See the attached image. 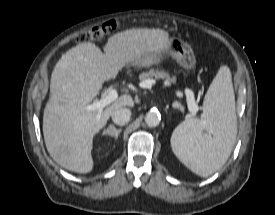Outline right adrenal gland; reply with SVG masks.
Returning <instances> with one entry per match:
<instances>
[{"mask_svg":"<svg viewBox=\"0 0 275 215\" xmlns=\"http://www.w3.org/2000/svg\"><path fill=\"white\" fill-rule=\"evenodd\" d=\"M122 128L116 129L113 125H110L104 132L103 135H108L111 137H115V139L118 138L119 134L121 133Z\"/></svg>","mask_w":275,"mask_h":215,"instance_id":"obj_1","label":"right adrenal gland"}]
</instances>
